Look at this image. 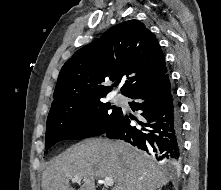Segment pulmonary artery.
Returning a JSON list of instances; mask_svg holds the SVG:
<instances>
[{
  "instance_id": "pulmonary-artery-1",
  "label": "pulmonary artery",
  "mask_w": 221,
  "mask_h": 190,
  "mask_svg": "<svg viewBox=\"0 0 221 190\" xmlns=\"http://www.w3.org/2000/svg\"><path fill=\"white\" fill-rule=\"evenodd\" d=\"M115 99H116L117 101H119V102H122V101H123V96H122L121 94H117V95L115 96Z\"/></svg>"
}]
</instances>
